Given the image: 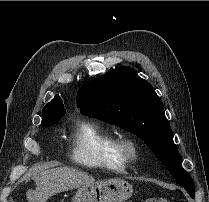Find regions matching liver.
Wrapping results in <instances>:
<instances>
[{
	"label": "liver",
	"instance_id": "1",
	"mask_svg": "<svg viewBox=\"0 0 209 202\" xmlns=\"http://www.w3.org/2000/svg\"><path fill=\"white\" fill-rule=\"evenodd\" d=\"M33 180L36 183L35 190L29 189L26 193L29 202H45L57 193L95 182L91 175L68 167L40 171L34 174Z\"/></svg>",
	"mask_w": 209,
	"mask_h": 202
}]
</instances>
